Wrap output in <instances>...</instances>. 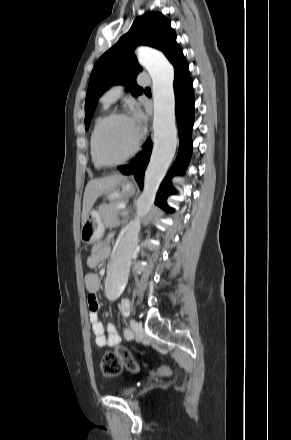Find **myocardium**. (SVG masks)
I'll return each instance as SVG.
<instances>
[{
	"mask_svg": "<svg viewBox=\"0 0 291 440\" xmlns=\"http://www.w3.org/2000/svg\"><path fill=\"white\" fill-rule=\"evenodd\" d=\"M117 118H128V116H127V114H125L123 112L114 111V112L106 115L105 117H103L100 120V122L98 123V125L95 129V132H94V136H93L94 157L97 160V162L102 166L113 167V166L122 165V164L126 163L127 161H129L137 153V151L140 148L142 137L138 133V136H137V139H136V142H135L133 148L130 150V152L124 158H122L120 160H107L101 156L100 151H99V137H100L101 131L108 122H110L111 120L117 119Z\"/></svg>",
	"mask_w": 291,
	"mask_h": 440,
	"instance_id": "f54148a6",
	"label": "myocardium"
}]
</instances>
